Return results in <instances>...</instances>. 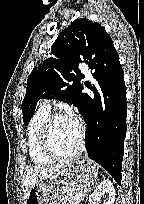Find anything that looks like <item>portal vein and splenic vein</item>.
<instances>
[{
  "instance_id": "18ae733b",
  "label": "portal vein and splenic vein",
  "mask_w": 144,
  "mask_h": 204,
  "mask_svg": "<svg viewBox=\"0 0 144 204\" xmlns=\"http://www.w3.org/2000/svg\"><path fill=\"white\" fill-rule=\"evenodd\" d=\"M76 197L78 198V199H80L81 197H82V195L81 194H76Z\"/></svg>"
}]
</instances>
